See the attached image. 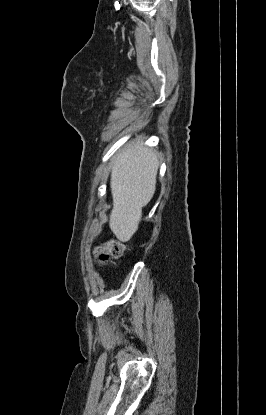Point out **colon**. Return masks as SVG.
Here are the masks:
<instances>
[{
    "label": "colon",
    "instance_id": "1",
    "mask_svg": "<svg viewBox=\"0 0 266 415\" xmlns=\"http://www.w3.org/2000/svg\"><path fill=\"white\" fill-rule=\"evenodd\" d=\"M124 244L117 240H109L95 248V258L100 265L105 264L109 259L122 256Z\"/></svg>",
    "mask_w": 266,
    "mask_h": 415
}]
</instances>
